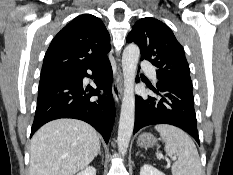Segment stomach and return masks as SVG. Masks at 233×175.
I'll return each instance as SVG.
<instances>
[{"label":"stomach","instance_id":"0dacf381","mask_svg":"<svg viewBox=\"0 0 233 175\" xmlns=\"http://www.w3.org/2000/svg\"><path fill=\"white\" fill-rule=\"evenodd\" d=\"M155 143H156V138L150 133H143L138 138V144L141 147H145V148L151 147L155 145Z\"/></svg>","mask_w":233,"mask_h":175}]
</instances>
